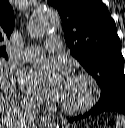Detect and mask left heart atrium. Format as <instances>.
Segmentation results:
<instances>
[{"label":"left heart atrium","instance_id":"39dd6f15","mask_svg":"<svg viewBox=\"0 0 125 128\" xmlns=\"http://www.w3.org/2000/svg\"><path fill=\"white\" fill-rule=\"evenodd\" d=\"M68 66L63 62L35 64L20 74V86L33 99L44 103L63 102L72 84Z\"/></svg>","mask_w":125,"mask_h":128}]
</instances>
